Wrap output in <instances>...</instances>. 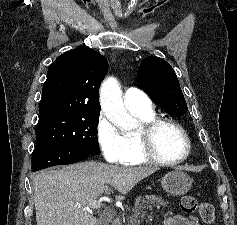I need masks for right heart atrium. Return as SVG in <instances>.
<instances>
[{"instance_id": "right-heart-atrium-1", "label": "right heart atrium", "mask_w": 237, "mask_h": 225, "mask_svg": "<svg viewBox=\"0 0 237 225\" xmlns=\"http://www.w3.org/2000/svg\"><path fill=\"white\" fill-rule=\"evenodd\" d=\"M96 139L104 158L113 164L122 163L128 155L129 146L124 134L101 113L96 123Z\"/></svg>"}]
</instances>
